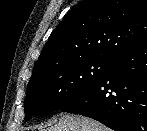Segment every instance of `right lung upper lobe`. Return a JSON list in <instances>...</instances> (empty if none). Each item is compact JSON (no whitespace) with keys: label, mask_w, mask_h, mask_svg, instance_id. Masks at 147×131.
<instances>
[{"label":"right lung upper lobe","mask_w":147,"mask_h":131,"mask_svg":"<svg viewBox=\"0 0 147 131\" xmlns=\"http://www.w3.org/2000/svg\"><path fill=\"white\" fill-rule=\"evenodd\" d=\"M147 40V0H83L53 30L32 76L89 58L115 60Z\"/></svg>","instance_id":"right-lung-upper-lobe-1"}]
</instances>
